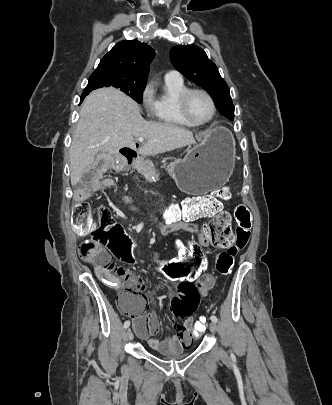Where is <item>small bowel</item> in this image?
I'll use <instances>...</instances> for the list:
<instances>
[{"label": "small bowel", "instance_id": "small-bowel-1", "mask_svg": "<svg viewBox=\"0 0 332 405\" xmlns=\"http://www.w3.org/2000/svg\"><path fill=\"white\" fill-rule=\"evenodd\" d=\"M134 165L141 172L154 168L153 162L143 157H138ZM102 180V172H83L81 184L82 186H99ZM125 202L133 211H140L136 205L137 199H131L127 196L125 197ZM213 214L211 213L209 217L213 218ZM190 215L191 219L186 222L185 230L192 234L200 235V228L193 224L200 216L197 214ZM139 262L144 263L145 260L139 259ZM119 278L121 288L127 292V295L120 298L119 308L123 313L132 317L133 328L137 335L141 339L146 340L149 347L153 350H162L163 353H185L187 347L191 344L189 337L192 323L194 322L190 315L194 311H197L198 306H200V298L205 299L209 291L214 287L215 277L206 272L203 281L187 282L186 284L178 282V295L177 291H172V296L176 297L173 298L172 303L166 304V309L174 311L175 314L185 319L182 325L176 326V333L174 335L162 340L152 337L158 333L160 322L155 312H146V296L143 294L146 285L143 280L140 276L129 272H121Z\"/></svg>", "mask_w": 332, "mask_h": 405}]
</instances>
